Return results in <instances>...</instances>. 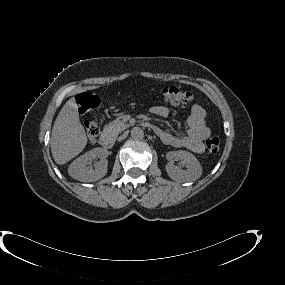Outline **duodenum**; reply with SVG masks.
<instances>
[{
    "instance_id": "410a0bca",
    "label": "duodenum",
    "mask_w": 285,
    "mask_h": 285,
    "mask_svg": "<svg viewBox=\"0 0 285 285\" xmlns=\"http://www.w3.org/2000/svg\"><path fill=\"white\" fill-rule=\"evenodd\" d=\"M99 142L105 148L111 147L113 145L112 134L108 132H103L99 137Z\"/></svg>"
}]
</instances>
